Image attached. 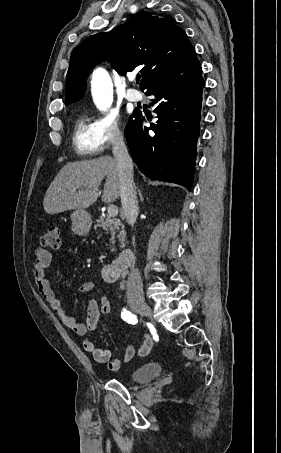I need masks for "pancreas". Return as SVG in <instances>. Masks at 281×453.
Listing matches in <instances>:
<instances>
[{"instance_id": "pancreas-1", "label": "pancreas", "mask_w": 281, "mask_h": 453, "mask_svg": "<svg viewBox=\"0 0 281 453\" xmlns=\"http://www.w3.org/2000/svg\"><path fill=\"white\" fill-rule=\"evenodd\" d=\"M96 222H98L96 227H102L103 231L111 233L110 241H112V245L115 243V233H118L117 237L120 241H125L126 231H124V224L120 222L119 218H110V216L103 218V216H100V218H97Z\"/></svg>"}]
</instances>
